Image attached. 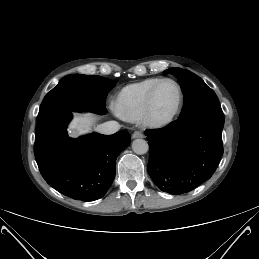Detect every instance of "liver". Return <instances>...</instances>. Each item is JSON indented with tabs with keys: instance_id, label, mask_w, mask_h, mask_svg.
I'll list each match as a JSON object with an SVG mask.
<instances>
[{
	"instance_id": "liver-1",
	"label": "liver",
	"mask_w": 259,
	"mask_h": 259,
	"mask_svg": "<svg viewBox=\"0 0 259 259\" xmlns=\"http://www.w3.org/2000/svg\"><path fill=\"white\" fill-rule=\"evenodd\" d=\"M97 116L92 113H76L68 127L69 136L76 138L87 133L95 123Z\"/></svg>"
}]
</instances>
